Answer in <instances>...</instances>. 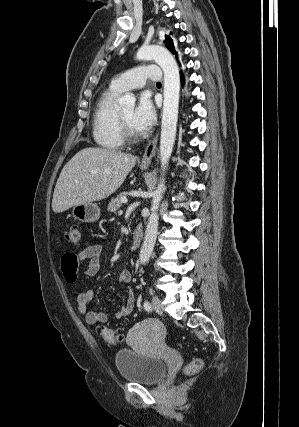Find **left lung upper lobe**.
I'll list each match as a JSON object with an SVG mask.
<instances>
[{
	"instance_id": "left-lung-upper-lobe-1",
	"label": "left lung upper lobe",
	"mask_w": 299,
	"mask_h": 427,
	"mask_svg": "<svg viewBox=\"0 0 299 427\" xmlns=\"http://www.w3.org/2000/svg\"><path fill=\"white\" fill-rule=\"evenodd\" d=\"M165 45L173 54L176 53L174 45H173V40L168 35H165Z\"/></svg>"
}]
</instances>
